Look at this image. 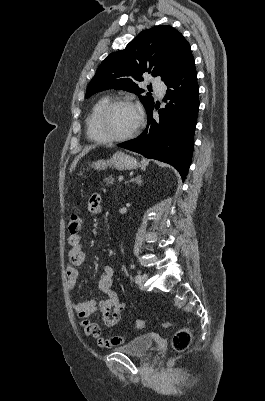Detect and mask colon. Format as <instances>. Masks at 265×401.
<instances>
[{"instance_id": "obj_1", "label": "colon", "mask_w": 265, "mask_h": 401, "mask_svg": "<svg viewBox=\"0 0 265 401\" xmlns=\"http://www.w3.org/2000/svg\"><path fill=\"white\" fill-rule=\"evenodd\" d=\"M82 227V219L78 213H72L68 218V230L71 234H76ZM165 327L169 326V323L164 324ZM137 329L144 327L142 320H137L135 323ZM191 332L188 328H181L175 332L172 338V347L177 352H182L188 349L191 343Z\"/></svg>"}]
</instances>
